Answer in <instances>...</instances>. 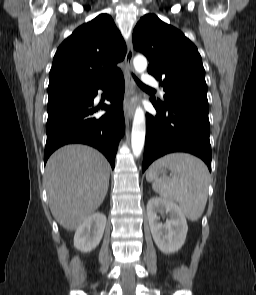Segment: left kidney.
<instances>
[{
  "instance_id": "obj_1",
  "label": "left kidney",
  "mask_w": 256,
  "mask_h": 295,
  "mask_svg": "<svg viewBox=\"0 0 256 295\" xmlns=\"http://www.w3.org/2000/svg\"><path fill=\"white\" fill-rule=\"evenodd\" d=\"M169 213L170 219L163 224L158 213ZM147 216L155 244L165 254L177 252L183 246L188 226L181 208L173 201L152 197L147 203Z\"/></svg>"
}]
</instances>
